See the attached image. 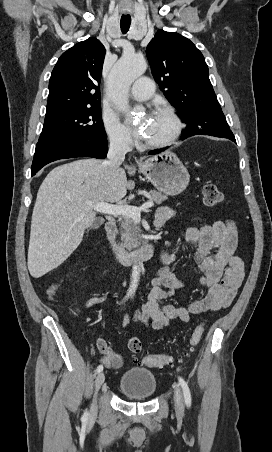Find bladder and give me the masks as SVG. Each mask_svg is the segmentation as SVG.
<instances>
[{
    "label": "bladder",
    "mask_w": 272,
    "mask_h": 452,
    "mask_svg": "<svg viewBox=\"0 0 272 452\" xmlns=\"http://www.w3.org/2000/svg\"><path fill=\"white\" fill-rule=\"evenodd\" d=\"M118 389L127 398L148 399L157 392V379L149 369L132 367L122 374Z\"/></svg>",
    "instance_id": "bladder-1"
}]
</instances>
